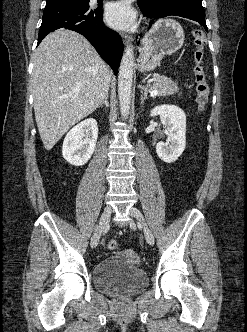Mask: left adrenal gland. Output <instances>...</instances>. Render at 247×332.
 Instances as JSON below:
<instances>
[{
	"instance_id": "obj_1",
	"label": "left adrenal gland",
	"mask_w": 247,
	"mask_h": 332,
	"mask_svg": "<svg viewBox=\"0 0 247 332\" xmlns=\"http://www.w3.org/2000/svg\"><path fill=\"white\" fill-rule=\"evenodd\" d=\"M147 99V96L144 94H141V105L144 104V101Z\"/></svg>"
}]
</instances>
